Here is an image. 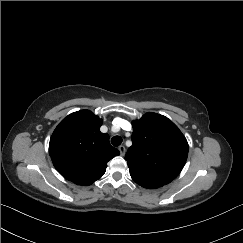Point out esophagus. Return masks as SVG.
Returning <instances> with one entry per match:
<instances>
[{"instance_id":"1","label":"esophagus","mask_w":243,"mask_h":243,"mask_svg":"<svg viewBox=\"0 0 243 243\" xmlns=\"http://www.w3.org/2000/svg\"><path fill=\"white\" fill-rule=\"evenodd\" d=\"M118 149H119V151H120V154H121L122 156H124V155H125V152H126V148H125L123 145H120V146L118 147Z\"/></svg>"}]
</instances>
